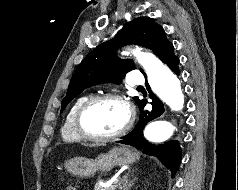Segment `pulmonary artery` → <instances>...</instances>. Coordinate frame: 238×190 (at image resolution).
<instances>
[{
    "label": "pulmonary artery",
    "instance_id": "1",
    "mask_svg": "<svg viewBox=\"0 0 238 190\" xmlns=\"http://www.w3.org/2000/svg\"><path fill=\"white\" fill-rule=\"evenodd\" d=\"M129 84L131 86H141L144 84V79L142 77V75L138 72V71H132L130 74H129Z\"/></svg>",
    "mask_w": 238,
    "mask_h": 190
}]
</instances>
